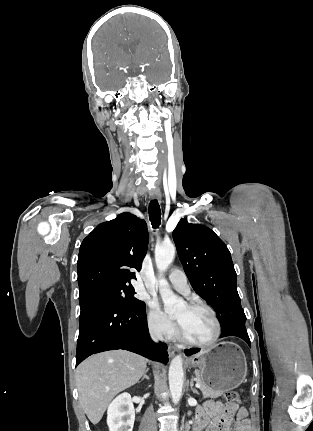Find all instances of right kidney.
Masks as SVG:
<instances>
[{
	"label": "right kidney",
	"mask_w": 313,
	"mask_h": 431,
	"mask_svg": "<svg viewBox=\"0 0 313 431\" xmlns=\"http://www.w3.org/2000/svg\"><path fill=\"white\" fill-rule=\"evenodd\" d=\"M135 409L130 394L122 393L108 406L107 424L109 431H132Z\"/></svg>",
	"instance_id": "obj_1"
}]
</instances>
